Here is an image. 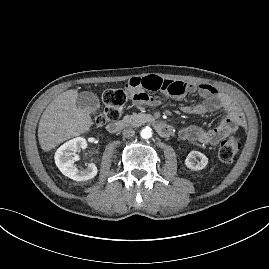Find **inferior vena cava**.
Returning a JSON list of instances; mask_svg holds the SVG:
<instances>
[{"label": "inferior vena cava", "instance_id": "inferior-vena-cava-1", "mask_svg": "<svg viewBox=\"0 0 269 269\" xmlns=\"http://www.w3.org/2000/svg\"><path fill=\"white\" fill-rule=\"evenodd\" d=\"M122 134L125 138H131L135 135V131L131 127H127L123 130Z\"/></svg>", "mask_w": 269, "mask_h": 269}]
</instances>
